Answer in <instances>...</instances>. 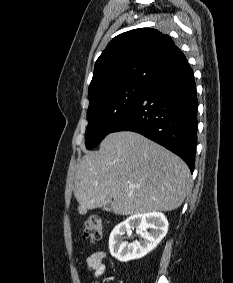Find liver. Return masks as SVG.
Here are the masks:
<instances>
[{
	"instance_id": "6515ba94",
	"label": "liver",
	"mask_w": 233,
	"mask_h": 283,
	"mask_svg": "<svg viewBox=\"0 0 233 283\" xmlns=\"http://www.w3.org/2000/svg\"><path fill=\"white\" fill-rule=\"evenodd\" d=\"M189 188L190 170L179 156L141 134L120 131L82 157L74 196L81 215L110 203L113 213L127 216L177 209Z\"/></svg>"
}]
</instances>
